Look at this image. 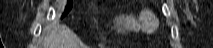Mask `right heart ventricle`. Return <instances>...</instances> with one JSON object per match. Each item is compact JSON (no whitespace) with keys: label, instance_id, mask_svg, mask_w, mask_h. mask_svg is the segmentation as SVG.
I'll return each mask as SVG.
<instances>
[{"label":"right heart ventricle","instance_id":"1","mask_svg":"<svg viewBox=\"0 0 213 48\" xmlns=\"http://www.w3.org/2000/svg\"><path fill=\"white\" fill-rule=\"evenodd\" d=\"M142 14V13H141ZM133 8H122L115 18V27L126 34H139L144 32L140 16Z\"/></svg>","mask_w":213,"mask_h":48}]
</instances>
